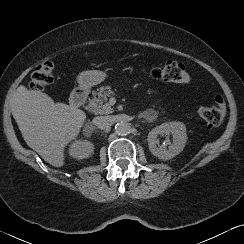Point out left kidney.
<instances>
[{"label": "left kidney", "instance_id": "5707ae66", "mask_svg": "<svg viewBox=\"0 0 244 244\" xmlns=\"http://www.w3.org/2000/svg\"><path fill=\"white\" fill-rule=\"evenodd\" d=\"M172 135V143H169L168 149L157 145L160 135ZM150 152L158 159L163 161L170 160L183 151L186 142V126L182 122L163 123L160 126L153 128L147 136Z\"/></svg>", "mask_w": 244, "mask_h": 244}]
</instances>
